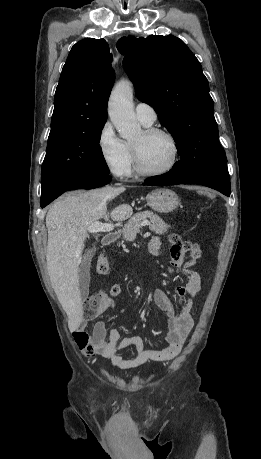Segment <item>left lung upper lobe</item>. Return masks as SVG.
<instances>
[{
	"instance_id": "left-lung-upper-lobe-1",
	"label": "left lung upper lobe",
	"mask_w": 261,
	"mask_h": 459,
	"mask_svg": "<svg viewBox=\"0 0 261 459\" xmlns=\"http://www.w3.org/2000/svg\"><path fill=\"white\" fill-rule=\"evenodd\" d=\"M126 41L120 51L136 95L154 108L177 144L181 160L172 169L188 174L226 164L208 81L186 44L171 35Z\"/></svg>"
}]
</instances>
